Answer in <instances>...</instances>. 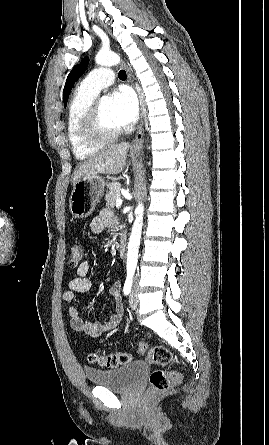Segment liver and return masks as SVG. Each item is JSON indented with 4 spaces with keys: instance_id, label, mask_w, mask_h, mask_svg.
<instances>
[{
    "instance_id": "6515ba94",
    "label": "liver",
    "mask_w": 269,
    "mask_h": 445,
    "mask_svg": "<svg viewBox=\"0 0 269 445\" xmlns=\"http://www.w3.org/2000/svg\"><path fill=\"white\" fill-rule=\"evenodd\" d=\"M129 147L128 143L110 146L79 164L73 173V185L85 176L121 173L126 164Z\"/></svg>"
}]
</instances>
